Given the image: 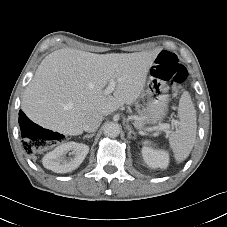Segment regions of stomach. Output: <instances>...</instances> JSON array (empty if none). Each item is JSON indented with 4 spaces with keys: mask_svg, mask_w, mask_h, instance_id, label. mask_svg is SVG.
I'll list each match as a JSON object with an SVG mask.
<instances>
[{
    "mask_svg": "<svg viewBox=\"0 0 227 227\" xmlns=\"http://www.w3.org/2000/svg\"><path fill=\"white\" fill-rule=\"evenodd\" d=\"M146 95V122L149 124H156L162 121L168 112V87L162 80L150 76L147 82Z\"/></svg>",
    "mask_w": 227,
    "mask_h": 227,
    "instance_id": "stomach-1",
    "label": "stomach"
}]
</instances>
